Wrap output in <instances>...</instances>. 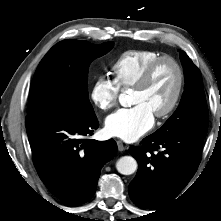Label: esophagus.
Wrapping results in <instances>:
<instances>
[{
  "label": "esophagus",
  "instance_id": "1",
  "mask_svg": "<svg viewBox=\"0 0 221 221\" xmlns=\"http://www.w3.org/2000/svg\"><path fill=\"white\" fill-rule=\"evenodd\" d=\"M117 146L119 151H124L126 149V146L120 140L117 141Z\"/></svg>",
  "mask_w": 221,
  "mask_h": 221
}]
</instances>
